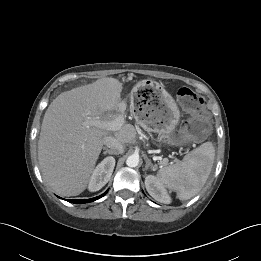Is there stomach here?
<instances>
[{
  "mask_svg": "<svg viewBox=\"0 0 261 261\" xmlns=\"http://www.w3.org/2000/svg\"><path fill=\"white\" fill-rule=\"evenodd\" d=\"M147 89L148 98L135 96L136 121L143 129L157 133L159 142L170 144L171 133L180 119L178 105L162 84L150 81Z\"/></svg>",
  "mask_w": 261,
  "mask_h": 261,
  "instance_id": "obj_1",
  "label": "stomach"
}]
</instances>
